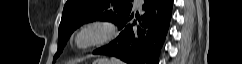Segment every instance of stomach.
I'll use <instances>...</instances> for the list:
<instances>
[{
  "label": "stomach",
  "mask_w": 242,
  "mask_h": 64,
  "mask_svg": "<svg viewBox=\"0 0 242 64\" xmlns=\"http://www.w3.org/2000/svg\"><path fill=\"white\" fill-rule=\"evenodd\" d=\"M93 64H111L107 59H98Z\"/></svg>",
  "instance_id": "1"
}]
</instances>
